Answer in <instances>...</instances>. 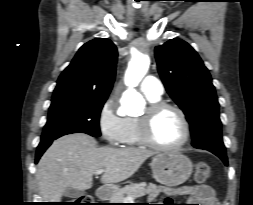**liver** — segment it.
Instances as JSON below:
<instances>
[{
	"instance_id": "6515ba94",
	"label": "liver",
	"mask_w": 253,
	"mask_h": 205,
	"mask_svg": "<svg viewBox=\"0 0 253 205\" xmlns=\"http://www.w3.org/2000/svg\"><path fill=\"white\" fill-rule=\"evenodd\" d=\"M155 153L142 148L97 147L85 133L55 140L41 157L36 170L39 194L45 202H60L66 189L88 190L93 175L104 169L100 182L114 184L131 177Z\"/></svg>"
}]
</instances>
